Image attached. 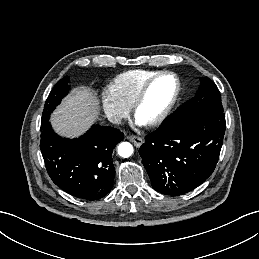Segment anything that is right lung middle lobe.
Listing matches in <instances>:
<instances>
[{
  "mask_svg": "<svg viewBox=\"0 0 259 259\" xmlns=\"http://www.w3.org/2000/svg\"><path fill=\"white\" fill-rule=\"evenodd\" d=\"M68 77L62 78L50 92L44 105L41 125L48 123L52 111L60 104L62 98L69 93Z\"/></svg>",
  "mask_w": 259,
  "mask_h": 259,
  "instance_id": "right-lung-middle-lobe-1",
  "label": "right lung middle lobe"
}]
</instances>
